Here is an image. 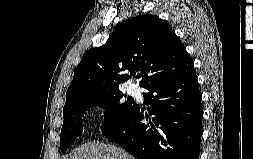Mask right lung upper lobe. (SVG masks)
Instances as JSON below:
<instances>
[{"label":"right lung upper lobe","mask_w":253,"mask_h":159,"mask_svg":"<svg viewBox=\"0 0 253 159\" xmlns=\"http://www.w3.org/2000/svg\"><path fill=\"white\" fill-rule=\"evenodd\" d=\"M193 62L168 22L151 14L138 15L118 26L107 42L87 50L74 71L66 103L119 90L130 78L124 70H140L141 87L179 76Z\"/></svg>","instance_id":"cb5924a9"}]
</instances>
